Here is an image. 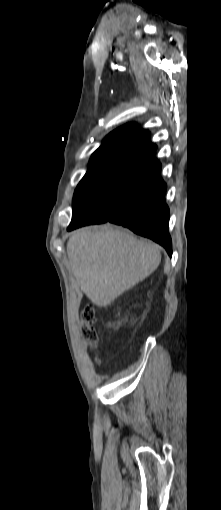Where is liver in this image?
Returning a JSON list of instances; mask_svg holds the SVG:
<instances>
[{"mask_svg":"<svg viewBox=\"0 0 221 510\" xmlns=\"http://www.w3.org/2000/svg\"><path fill=\"white\" fill-rule=\"evenodd\" d=\"M67 255L81 290L98 307L111 304L143 281L161 261L157 244L110 225L74 231Z\"/></svg>","mask_w":221,"mask_h":510,"instance_id":"obj_1","label":"liver"}]
</instances>
